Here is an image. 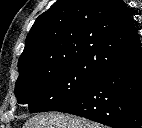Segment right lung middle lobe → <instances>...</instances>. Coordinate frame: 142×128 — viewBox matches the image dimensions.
Returning a JSON list of instances; mask_svg holds the SVG:
<instances>
[{
  "instance_id": "dd1d6c3e",
  "label": "right lung middle lobe",
  "mask_w": 142,
  "mask_h": 128,
  "mask_svg": "<svg viewBox=\"0 0 142 128\" xmlns=\"http://www.w3.org/2000/svg\"><path fill=\"white\" fill-rule=\"evenodd\" d=\"M83 66L53 68L17 80L15 94L19 104L29 111H55L85 91L96 79Z\"/></svg>"
}]
</instances>
